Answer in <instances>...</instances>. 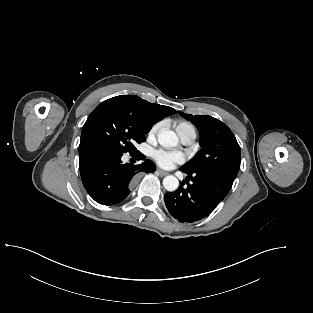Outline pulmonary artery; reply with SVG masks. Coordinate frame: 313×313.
<instances>
[{
    "label": "pulmonary artery",
    "mask_w": 313,
    "mask_h": 313,
    "mask_svg": "<svg viewBox=\"0 0 313 313\" xmlns=\"http://www.w3.org/2000/svg\"><path fill=\"white\" fill-rule=\"evenodd\" d=\"M195 137L191 134L181 137V140L184 144H191L194 141Z\"/></svg>",
    "instance_id": "e3ab8cb5"
}]
</instances>
